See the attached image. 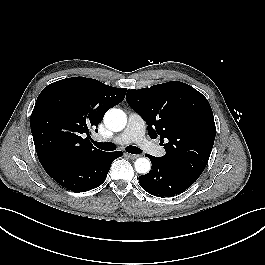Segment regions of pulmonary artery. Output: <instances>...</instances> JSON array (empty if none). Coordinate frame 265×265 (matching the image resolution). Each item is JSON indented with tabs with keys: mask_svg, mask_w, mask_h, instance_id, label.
I'll list each match as a JSON object with an SVG mask.
<instances>
[{
	"mask_svg": "<svg viewBox=\"0 0 265 265\" xmlns=\"http://www.w3.org/2000/svg\"><path fill=\"white\" fill-rule=\"evenodd\" d=\"M114 143L128 144L136 142L142 147L147 148L151 154L161 157L164 155V150L155 143L148 141L145 138V124L141 117L136 113H130L128 117V124L123 133L114 138Z\"/></svg>",
	"mask_w": 265,
	"mask_h": 265,
	"instance_id": "obj_1",
	"label": "pulmonary artery"
}]
</instances>
